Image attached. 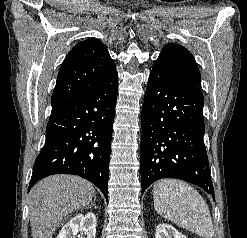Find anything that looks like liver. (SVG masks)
<instances>
[{
	"label": "liver",
	"instance_id": "1",
	"mask_svg": "<svg viewBox=\"0 0 247 238\" xmlns=\"http://www.w3.org/2000/svg\"><path fill=\"white\" fill-rule=\"evenodd\" d=\"M30 195L32 237L52 238L63 217L89 205L94 187L77 176L52 175L35 185Z\"/></svg>",
	"mask_w": 247,
	"mask_h": 238
}]
</instances>
